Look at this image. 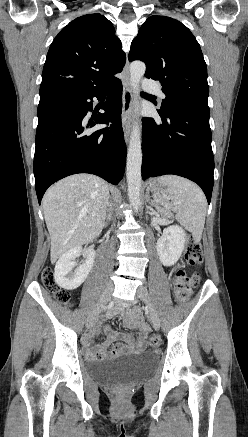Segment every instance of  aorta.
Listing matches in <instances>:
<instances>
[{"mask_svg": "<svg viewBox=\"0 0 248 437\" xmlns=\"http://www.w3.org/2000/svg\"><path fill=\"white\" fill-rule=\"evenodd\" d=\"M146 66L141 61H134L130 65V83L134 93L135 103H137V97L139 95V84L142 77L145 74ZM141 165H142V150H141V132L138 123L133 126L131 133V139L129 142L127 152V184H128V198L137 212L140 201V189H141Z\"/></svg>", "mask_w": 248, "mask_h": 437, "instance_id": "1", "label": "aorta"}]
</instances>
